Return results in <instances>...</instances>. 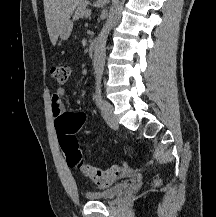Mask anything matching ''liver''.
<instances>
[{
    "label": "liver",
    "instance_id": "1",
    "mask_svg": "<svg viewBox=\"0 0 216 217\" xmlns=\"http://www.w3.org/2000/svg\"><path fill=\"white\" fill-rule=\"evenodd\" d=\"M83 0H43L48 34L52 45H56L60 31Z\"/></svg>",
    "mask_w": 216,
    "mask_h": 217
}]
</instances>
